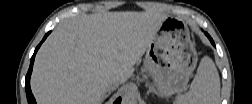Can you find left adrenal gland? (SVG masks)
I'll list each match as a JSON object with an SVG mask.
<instances>
[{
	"mask_svg": "<svg viewBox=\"0 0 252 104\" xmlns=\"http://www.w3.org/2000/svg\"><path fill=\"white\" fill-rule=\"evenodd\" d=\"M147 86L149 87V90L147 91L148 94L151 92L158 94L155 88L151 84L148 83Z\"/></svg>",
	"mask_w": 252,
	"mask_h": 104,
	"instance_id": "left-adrenal-gland-1",
	"label": "left adrenal gland"
}]
</instances>
